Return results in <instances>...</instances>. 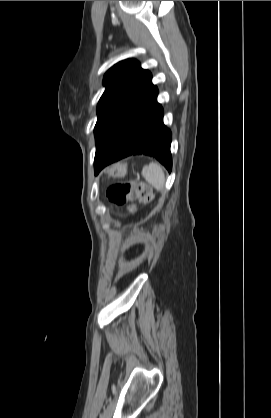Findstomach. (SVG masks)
Returning <instances> with one entry per match:
<instances>
[{
	"label": "stomach",
	"instance_id": "1",
	"mask_svg": "<svg viewBox=\"0 0 271 418\" xmlns=\"http://www.w3.org/2000/svg\"><path fill=\"white\" fill-rule=\"evenodd\" d=\"M107 174L114 178H123L127 174V164L116 163L108 169Z\"/></svg>",
	"mask_w": 271,
	"mask_h": 418
}]
</instances>
